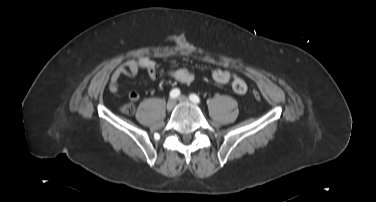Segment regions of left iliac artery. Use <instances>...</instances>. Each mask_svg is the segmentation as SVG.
<instances>
[{"label":"left iliac artery","mask_w":376,"mask_h":202,"mask_svg":"<svg viewBox=\"0 0 376 202\" xmlns=\"http://www.w3.org/2000/svg\"><path fill=\"white\" fill-rule=\"evenodd\" d=\"M189 97L193 103H200V98L196 94H191Z\"/></svg>","instance_id":"left-iliac-artery-1"}]
</instances>
